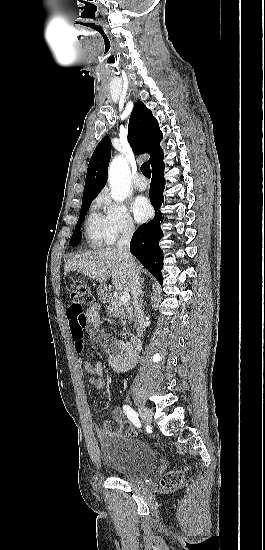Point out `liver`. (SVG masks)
I'll use <instances>...</instances> for the list:
<instances>
[{
    "label": "liver",
    "mask_w": 265,
    "mask_h": 550,
    "mask_svg": "<svg viewBox=\"0 0 265 550\" xmlns=\"http://www.w3.org/2000/svg\"><path fill=\"white\" fill-rule=\"evenodd\" d=\"M139 274L143 272L142 266L135 261ZM69 271H77L85 276L93 278L100 283L112 277V284L116 290L131 292V280L128 267L122 255L114 247L100 248L77 254L70 258L64 266V275Z\"/></svg>",
    "instance_id": "6515ba94"
}]
</instances>
